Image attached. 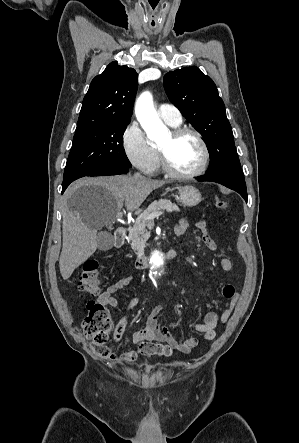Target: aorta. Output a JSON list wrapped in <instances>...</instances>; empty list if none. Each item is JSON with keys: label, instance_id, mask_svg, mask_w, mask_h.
I'll return each instance as SVG.
<instances>
[{"label": "aorta", "instance_id": "obj_1", "mask_svg": "<svg viewBox=\"0 0 299 443\" xmlns=\"http://www.w3.org/2000/svg\"><path fill=\"white\" fill-rule=\"evenodd\" d=\"M135 114L141 127L151 141H159L167 136L168 129L160 120L153 106V98L150 92H143L135 104ZM150 263L152 268L163 266L164 260L159 253H155Z\"/></svg>", "mask_w": 299, "mask_h": 443}]
</instances>
